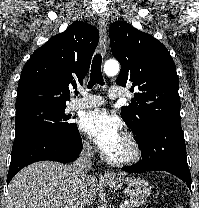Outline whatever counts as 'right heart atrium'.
Returning <instances> with one entry per match:
<instances>
[{
  "label": "right heart atrium",
  "mask_w": 199,
  "mask_h": 208,
  "mask_svg": "<svg viewBox=\"0 0 199 208\" xmlns=\"http://www.w3.org/2000/svg\"><path fill=\"white\" fill-rule=\"evenodd\" d=\"M82 147L87 154H92L94 151L93 145L87 139L82 140Z\"/></svg>",
  "instance_id": "right-heart-atrium-1"
}]
</instances>
